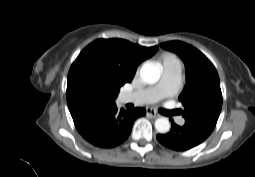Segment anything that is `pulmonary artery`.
<instances>
[{
  "instance_id": "obj_1",
  "label": "pulmonary artery",
  "mask_w": 255,
  "mask_h": 177,
  "mask_svg": "<svg viewBox=\"0 0 255 177\" xmlns=\"http://www.w3.org/2000/svg\"><path fill=\"white\" fill-rule=\"evenodd\" d=\"M181 79V71L173 70L163 71L160 82L153 86L143 90L125 93L121 95V101L124 103L134 104H151L157 102L163 98L173 95L179 87ZM177 122L183 124L184 120L178 118Z\"/></svg>"
}]
</instances>
